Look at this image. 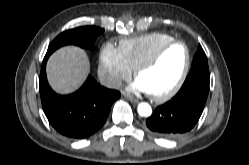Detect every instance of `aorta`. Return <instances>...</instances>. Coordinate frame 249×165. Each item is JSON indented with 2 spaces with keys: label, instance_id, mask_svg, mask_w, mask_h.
<instances>
[{
  "label": "aorta",
  "instance_id": "obj_1",
  "mask_svg": "<svg viewBox=\"0 0 249 165\" xmlns=\"http://www.w3.org/2000/svg\"><path fill=\"white\" fill-rule=\"evenodd\" d=\"M137 110L138 114L142 117H149L152 114L151 106L145 102L139 103Z\"/></svg>",
  "mask_w": 249,
  "mask_h": 165
}]
</instances>
